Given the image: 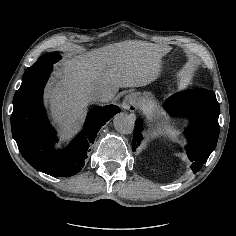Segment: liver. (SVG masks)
<instances>
[{"mask_svg":"<svg viewBox=\"0 0 236 236\" xmlns=\"http://www.w3.org/2000/svg\"><path fill=\"white\" fill-rule=\"evenodd\" d=\"M171 48L144 41H123L62 60L56 77L46 87L55 121L64 134L83 118L95 90L103 88L113 96L120 87L143 86L157 79L154 64Z\"/></svg>","mask_w":236,"mask_h":236,"instance_id":"obj_1","label":"liver"}]
</instances>
